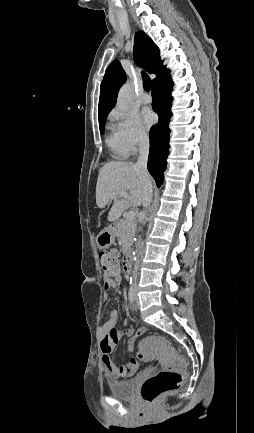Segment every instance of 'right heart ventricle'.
<instances>
[{"mask_svg": "<svg viewBox=\"0 0 254 433\" xmlns=\"http://www.w3.org/2000/svg\"><path fill=\"white\" fill-rule=\"evenodd\" d=\"M106 145L109 148V151L113 158L123 159L127 156L121 147L119 138L113 126L110 127V133L106 137Z\"/></svg>", "mask_w": 254, "mask_h": 433, "instance_id": "right-heart-ventricle-1", "label": "right heart ventricle"}]
</instances>
